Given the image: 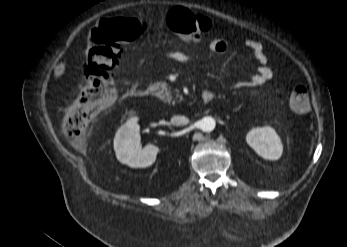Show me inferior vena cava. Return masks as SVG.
<instances>
[{
  "mask_svg": "<svg viewBox=\"0 0 347 247\" xmlns=\"http://www.w3.org/2000/svg\"><path fill=\"white\" fill-rule=\"evenodd\" d=\"M188 122H189V120H188V118L185 117V116H179V115H177V116H173V117L171 118V123H172L173 125H176V126L186 125V124H188Z\"/></svg>",
  "mask_w": 347,
  "mask_h": 247,
  "instance_id": "obj_1",
  "label": "inferior vena cava"
}]
</instances>
